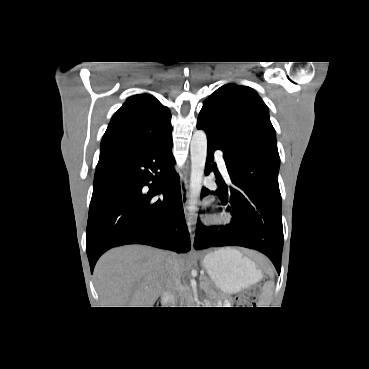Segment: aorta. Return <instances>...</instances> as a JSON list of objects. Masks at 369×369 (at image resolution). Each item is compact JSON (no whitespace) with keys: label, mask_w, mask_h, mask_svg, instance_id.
<instances>
[{"label":"aorta","mask_w":369,"mask_h":369,"mask_svg":"<svg viewBox=\"0 0 369 369\" xmlns=\"http://www.w3.org/2000/svg\"><path fill=\"white\" fill-rule=\"evenodd\" d=\"M191 174H190V194L188 201L189 215H194L196 211L198 197L202 189V179L204 175L205 162L207 157V136L203 130H196L193 134L191 145Z\"/></svg>","instance_id":"1"}]
</instances>
